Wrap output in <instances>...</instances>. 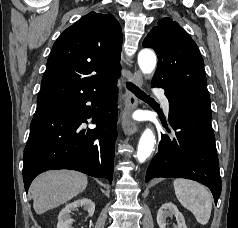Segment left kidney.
<instances>
[{
	"mask_svg": "<svg viewBox=\"0 0 238 228\" xmlns=\"http://www.w3.org/2000/svg\"><path fill=\"white\" fill-rule=\"evenodd\" d=\"M175 216L177 225L174 228H187L184 216L172 202L164 203L157 213V223L160 228H166V218Z\"/></svg>",
	"mask_w": 238,
	"mask_h": 228,
	"instance_id": "5707ae66",
	"label": "left kidney"
}]
</instances>
